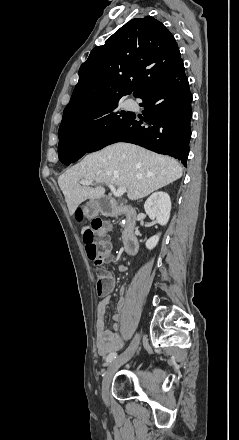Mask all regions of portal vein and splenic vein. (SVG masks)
<instances>
[{
	"mask_svg": "<svg viewBox=\"0 0 239 440\" xmlns=\"http://www.w3.org/2000/svg\"><path fill=\"white\" fill-rule=\"evenodd\" d=\"M80 184H82V186H91L92 182H90V180H81ZM107 186L108 188H110L112 194L116 196V198H119V196H123V194H125L126 192V188H118V190H116V188H114L112 184H107Z\"/></svg>",
	"mask_w": 239,
	"mask_h": 440,
	"instance_id": "18ae733b",
	"label": "portal vein and splenic vein"
}]
</instances>
